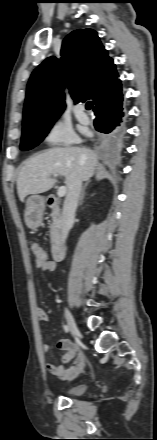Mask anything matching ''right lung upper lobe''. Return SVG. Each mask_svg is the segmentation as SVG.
Segmentation results:
<instances>
[{
	"label": "right lung upper lobe",
	"instance_id": "1",
	"mask_svg": "<svg viewBox=\"0 0 157 440\" xmlns=\"http://www.w3.org/2000/svg\"><path fill=\"white\" fill-rule=\"evenodd\" d=\"M75 103L90 99L94 111L121 94L112 58L93 29H77L63 41L61 58H47L32 73L23 111V126L55 121L65 108L64 85Z\"/></svg>",
	"mask_w": 157,
	"mask_h": 440
}]
</instances>
